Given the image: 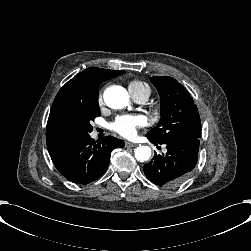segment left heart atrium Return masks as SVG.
Segmentation results:
<instances>
[{"label": "left heart atrium", "instance_id": "left-heart-atrium-1", "mask_svg": "<svg viewBox=\"0 0 251 251\" xmlns=\"http://www.w3.org/2000/svg\"><path fill=\"white\" fill-rule=\"evenodd\" d=\"M145 119L141 115H121L110 125V129L121 136L129 137L133 135L138 127L143 126Z\"/></svg>", "mask_w": 251, "mask_h": 251}]
</instances>
